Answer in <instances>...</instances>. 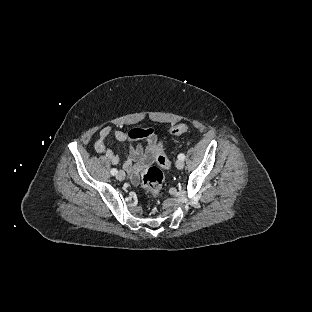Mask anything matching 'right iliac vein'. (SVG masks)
I'll return each instance as SVG.
<instances>
[{
  "label": "right iliac vein",
  "mask_w": 312,
  "mask_h": 312,
  "mask_svg": "<svg viewBox=\"0 0 312 312\" xmlns=\"http://www.w3.org/2000/svg\"><path fill=\"white\" fill-rule=\"evenodd\" d=\"M125 177H126V175H125V173H124L123 171H119V172L117 173V179H118L119 181L124 180Z\"/></svg>",
  "instance_id": "right-iliac-vein-1"
}]
</instances>
